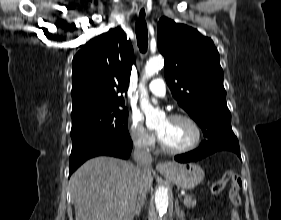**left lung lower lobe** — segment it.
Listing matches in <instances>:
<instances>
[{
	"instance_id": "obj_1",
	"label": "left lung lower lobe",
	"mask_w": 281,
	"mask_h": 220,
	"mask_svg": "<svg viewBox=\"0 0 281 220\" xmlns=\"http://www.w3.org/2000/svg\"><path fill=\"white\" fill-rule=\"evenodd\" d=\"M221 150L235 152L238 157L241 158L238 142L212 143L209 141H204L198 149L182 155H177L175 156V160L181 163L197 161L216 151Z\"/></svg>"
}]
</instances>
